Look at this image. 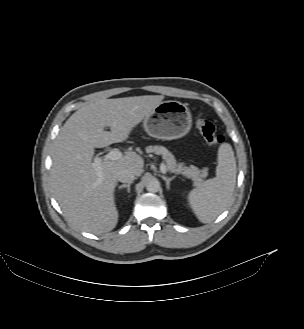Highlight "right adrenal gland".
Instances as JSON below:
<instances>
[{"instance_id": "2a0ac1e0", "label": "right adrenal gland", "mask_w": 304, "mask_h": 329, "mask_svg": "<svg viewBox=\"0 0 304 329\" xmlns=\"http://www.w3.org/2000/svg\"><path fill=\"white\" fill-rule=\"evenodd\" d=\"M132 182L128 183V184H123V185H120L118 188L119 190L123 189V188H126L127 189V192L130 193V186H131Z\"/></svg>"}]
</instances>
